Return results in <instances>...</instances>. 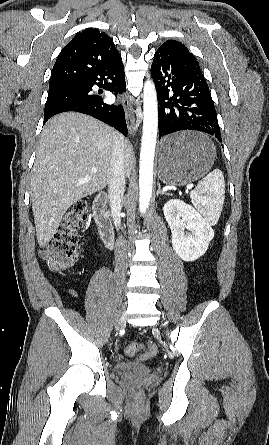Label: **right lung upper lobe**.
<instances>
[{
  "mask_svg": "<svg viewBox=\"0 0 269 445\" xmlns=\"http://www.w3.org/2000/svg\"><path fill=\"white\" fill-rule=\"evenodd\" d=\"M120 58L107 34L93 28L86 29L79 32L58 55L49 88L81 84L87 76Z\"/></svg>",
  "mask_w": 269,
  "mask_h": 445,
  "instance_id": "cb5924a9",
  "label": "right lung upper lobe"
}]
</instances>
